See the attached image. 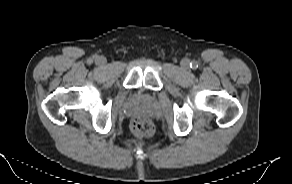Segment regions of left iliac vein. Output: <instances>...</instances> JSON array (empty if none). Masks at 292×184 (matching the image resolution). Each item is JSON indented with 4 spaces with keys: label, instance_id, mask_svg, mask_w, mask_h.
<instances>
[{
    "label": "left iliac vein",
    "instance_id": "1",
    "mask_svg": "<svg viewBox=\"0 0 292 184\" xmlns=\"http://www.w3.org/2000/svg\"><path fill=\"white\" fill-rule=\"evenodd\" d=\"M188 63H189V60H187V59H184L182 62L184 67H186L188 65Z\"/></svg>",
    "mask_w": 292,
    "mask_h": 184
}]
</instances>
